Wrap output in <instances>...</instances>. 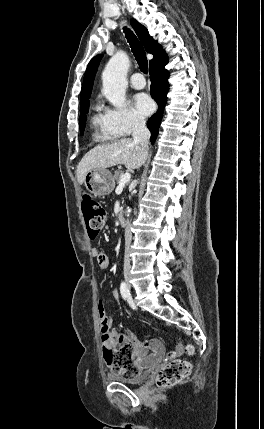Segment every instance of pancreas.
I'll return each instance as SVG.
<instances>
[{
    "mask_svg": "<svg viewBox=\"0 0 264 429\" xmlns=\"http://www.w3.org/2000/svg\"><path fill=\"white\" fill-rule=\"evenodd\" d=\"M123 175V172L122 171H116L115 172V174H114V180L117 182V183H119V181H120V177Z\"/></svg>",
    "mask_w": 264,
    "mask_h": 429,
    "instance_id": "cf45deb5",
    "label": "pancreas"
}]
</instances>
